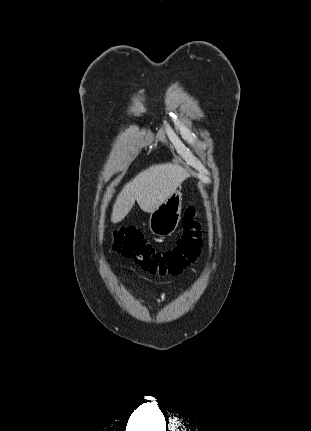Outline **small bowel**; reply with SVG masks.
<instances>
[{"label": "small bowel", "instance_id": "c3829d8e", "mask_svg": "<svg viewBox=\"0 0 311 431\" xmlns=\"http://www.w3.org/2000/svg\"><path fill=\"white\" fill-rule=\"evenodd\" d=\"M164 297H165V294H164V293H163V294H161V296H160V298L158 299V301L163 300V299H164Z\"/></svg>", "mask_w": 311, "mask_h": 431}]
</instances>
